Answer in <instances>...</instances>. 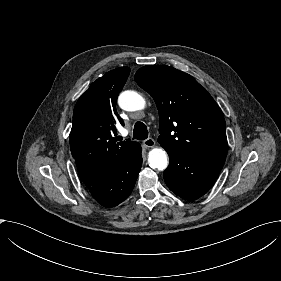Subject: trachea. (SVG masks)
I'll return each instance as SVG.
<instances>
[{"label":"trachea","mask_w":281,"mask_h":281,"mask_svg":"<svg viewBox=\"0 0 281 281\" xmlns=\"http://www.w3.org/2000/svg\"><path fill=\"white\" fill-rule=\"evenodd\" d=\"M148 137V130L144 123L136 122L133 130V138L144 140Z\"/></svg>","instance_id":"trachea-1"}]
</instances>
